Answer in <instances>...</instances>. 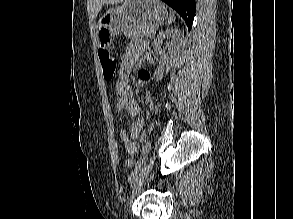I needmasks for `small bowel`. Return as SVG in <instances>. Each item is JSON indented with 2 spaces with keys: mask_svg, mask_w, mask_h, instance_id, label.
Segmentation results:
<instances>
[{
  "mask_svg": "<svg viewBox=\"0 0 293 219\" xmlns=\"http://www.w3.org/2000/svg\"><path fill=\"white\" fill-rule=\"evenodd\" d=\"M144 50L145 44L142 41H135L127 47L122 56L121 65L119 68L120 78L118 79L115 86V93L117 98L116 110L118 113L126 112L131 116L139 115L140 108L132 96L129 76L135 62L139 59ZM149 77L150 73L147 70H140L138 72V86H144ZM143 124V118L138 117L132 123L129 132L126 129L120 130L119 135L128 154H134L138 150V140L143 128Z\"/></svg>",
  "mask_w": 293,
  "mask_h": 219,
  "instance_id": "c3829d8e",
  "label": "small bowel"
}]
</instances>
